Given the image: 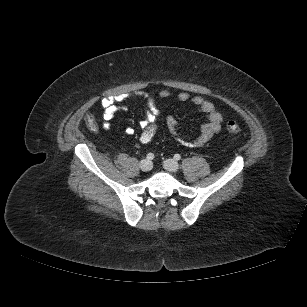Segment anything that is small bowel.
<instances>
[{
  "instance_id": "small-bowel-1",
  "label": "small bowel",
  "mask_w": 307,
  "mask_h": 307,
  "mask_svg": "<svg viewBox=\"0 0 307 307\" xmlns=\"http://www.w3.org/2000/svg\"><path fill=\"white\" fill-rule=\"evenodd\" d=\"M143 100H145L146 106L143 114V120L140 122V125L143 129L150 126L157 121L160 116V111L158 110L154 97L150 96L145 92H139L135 95ZM171 96L170 91L162 90L158 93V97L165 99ZM127 95H121L116 98H105L100 103V110L103 116L102 127L105 130H109L111 127V120L114 115L119 112L122 107L118 106L117 103L126 99ZM177 99L181 102L191 101L200 112L206 115L207 121L203 124L201 128V132L198 137L194 140H186L183 138L178 132V123L176 119L172 116L167 117L166 124L167 127L172 134V136L182 143L183 145L190 147H202L204 146L215 134H217L221 130L222 124V115L216 109L215 105L204 99L201 96L190 97L187 92H180L177 95ZM91 130L96 131L97 125L90 127ZM126 133L128 135H132L134 133L133 127H127Z\"/></svg>"
}]
</instances>
